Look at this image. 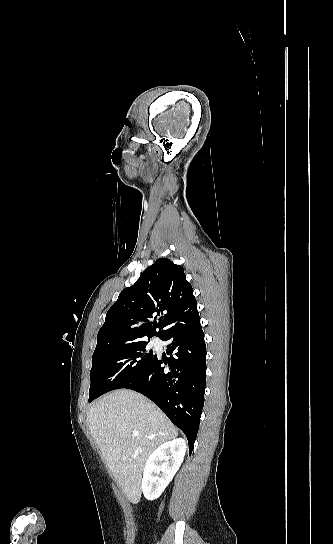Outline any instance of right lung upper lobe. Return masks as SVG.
<instances>
[{
	"instance_id": "right-lung-upper-lobe-1",
	"label": "right lung upper lobe",
	"mask_w": 333,
	"mask_h": 544,
	"mask_svg": "<svg viewBox=\"0 0 333 544\" xmlns=\"http://www.w3.org/2000/svg\"><path fill=\"white\" fill-rule=\"evenodd\" d=\"M160 313L163 316L159 323L149 322L154 314ZM196 314L197 302L183 267L167 258H160L141 274L134 285L122 290L106 314L95 350L146 336L160 338L167 329Z\"/></svg>"
}]
</instances>
